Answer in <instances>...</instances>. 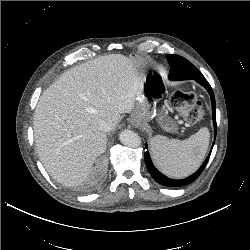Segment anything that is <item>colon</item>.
Returning a JSON list of instances; mask_svg holds the SVG:
<instances>
[{
	"label": "colon",
	"instance_id": "obj_1",
	"mask_svg": "<svg viewBox=\"0 0 250 250\" xmlns=\"http://www.w3.org/2000/svg\"><path fill=\"white\" fill-rule=\"evenodd\" d=\"M171 103L191 123L199 121L204 115L202 105L192 93L177 91L173 94Z\"/></svg>",
	"mask_w": 250,
	"mask_h": 250
}]
</instances>
